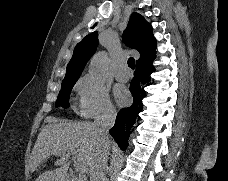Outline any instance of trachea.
Listing matches in <instances>:
<instances>
[{"instance_id": "1", "label": "trachea", "mask_w": 228, "mask_h": 181, "mask_svg": "<svg viewBox=\"0 0 228 181\" xmlns=\"http://www.w3.org/2000/svg\"><path fill=\"white\" fill-rule=\"evenodd\" d=\"M128 66L133 70L134 68H135V60H134V58L133 57H130L129 59H128Z\"/></svg>"}]
</instances>
